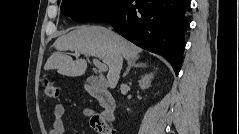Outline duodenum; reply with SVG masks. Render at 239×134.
Wrapping results in <instances>:
<instances>
[{
  "instance_id": "1",
  "label": "duodenum",
  "mask_w": 239,
  "mask_h": 134,
  "mask_svg": "<svg viewBox=\"0 0 239 134\" xmlns=\"http://www.w3.org/2000/svg\"><path fill=\"white\" fill-rule=\"evenodd\" d=\"M89 92L97 99L99 105L103 109V117L107 120H112L114 118L116 105L115 100L110 92L97 86H90Z\"/></svg>"
}]
</instances>
